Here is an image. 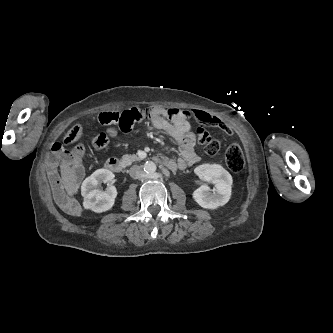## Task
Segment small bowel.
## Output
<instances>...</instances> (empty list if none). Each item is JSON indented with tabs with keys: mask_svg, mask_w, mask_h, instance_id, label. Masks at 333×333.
<instances>
[{
	"mask_svg": "<svg viewBox=\"0 0 333 333\" xmlns=\"http://www.w3.org/2000/svg\"><path fill=\"white\" fill-rule=\"evenodd\" d=\"M144 108L153 109L155 115L151 119L146 118L142 121H150L153 128L164 130L176 143L179 144L181 158L178 160L165 158L166 160L164 164L172 170L184 169L187 164H195L200 161V157L194 150L195 137L191 132V120L207 126H218L219 129L226 134L231 132V128L224 124L222 120L203 110L193 109L184 111L178 108H163L159 106ZM132 124L133 123L130 122L129 125L120 129L123 132H128ZM107 132L112 137L118 134V130L114 127H110ZM51 157L53 164H72L76 169L77 175L79 177L83 175L81 161L84 157V150L81 146L74 152H65L62 155H56L53 153ZM51 183L54 192L59 194L61 184L59 178L56 175L52 176ZM63 204L67 212H76L73 201L63 199Z\"/></svg>",
	"mask_w": 333,
	"mask_h": 333,
	"instance_id": "c3829d8e",
	"label": "small bowel"
}]
</instances>
